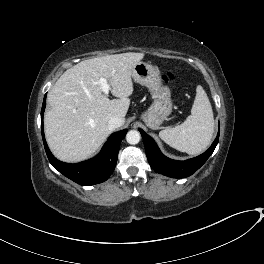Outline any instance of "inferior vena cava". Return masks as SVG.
Returning <instances> with one entry per match:
<instances>
[{
	"label": "inferior vena cava",
	"mask_w": 264,
	"mask_h": 264,
	"mask_svg": "<svg viewBox=\"0 0 264 264\" xmlns=\"http://www.w3.org/2000/svg\"><path fill=\"white\" fill-rule=\"evenodd\" d=\"M123 124V120L120 117L114 116L108 122L109 129L113 130L120 127Z\"/></svg>",
	"instance_id": "1"
}]
</instances>
